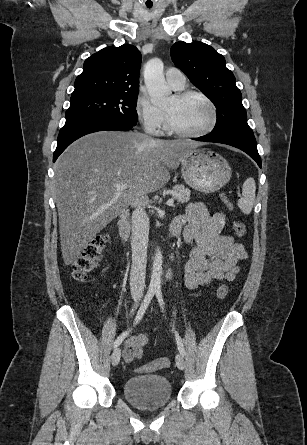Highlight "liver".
Returning <instances> with one entry per match:
<instances>
[{
	"mask_svg": "<svg viewBox=\"0 0 307 445\" xmlns=\"http://www.w3.org/2000/svg\"><path fill=\"white\" fill-rule=\"evenodd\" d=\"M203 142L160 140L142 132L85 134L55 162V194L65 265L135 198L160 190L183 156ZM128 184L116 190L114 184Z\"/></svg>",
	"mask_w": 307,
	"mask_h": 445,
	"instance_id": "obj_1",
	"label": "liver"
}]
</instances>
